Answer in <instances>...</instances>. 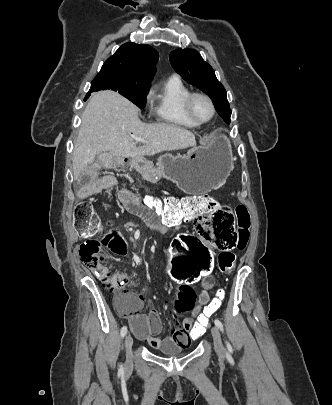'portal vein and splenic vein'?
Masks as SVG:
<instances>
[{
    "instance_id": "obj_1",
    "label": "portal vein and splenic vein",
    "mask_w": 332,
    "mask_h": 405,
    "mask_svg": "<svg viewBox=\"0 0 332 405\" xmlns=\"http://www.w3.org/2000/svg\"><path fill=\"white\" fill-rule=\"evenodd\" d=\"M135 140H136V142H143V143H146V142H147L146 140H144V139H142V138H136Z\"/></svg>"
}]
</instances>
